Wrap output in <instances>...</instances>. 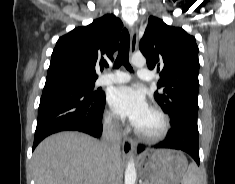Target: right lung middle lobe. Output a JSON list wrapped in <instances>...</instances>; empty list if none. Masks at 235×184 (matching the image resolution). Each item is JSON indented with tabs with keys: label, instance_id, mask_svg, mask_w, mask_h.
I'll use <instances>...</instances> for the list:
<instances>
[{
	"label": "right lung middle lobe",
	"instance_id": "dd1d6c3e",
	"mask_svg": "<svg viewBox=\"0 0 235 184\" xmlns=\"http://www.w3.org/2000/svg\"><path fill=\"white\" fill-rule=\"evenodd\" d=\"M65 84L70 86H76L84 90L85 92L92 94L94 96H104L105 93L101 88L94 90V82L92 80H84L74 77H65L62 80Z\"/></svg>",
	"mask_w": 235,
	"mask_h": 184
}]
</instances>
